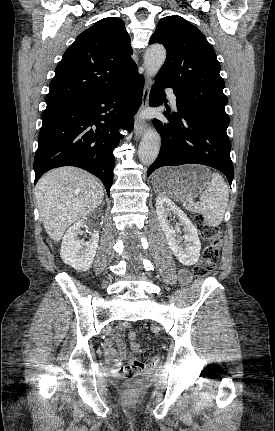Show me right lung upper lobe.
Segmentation results:
<instances>
[{
    "label": "right lung upper lobe",
    "mask_w": 275,
    "mask_h": 431,
    "mask_svg": "<svg viewBox=\"0 0 275 431\" xmlns=\"http://www.w3.org/2000/svg\"><path fill=\"white\" fill-rule=\"evenodd\" d=\"M124 22L108 17L82 32L65 51L49 85L46 104L118 89L137 73Z\"/></svg>",
    "instance_id": "1"
}]
</instances>
